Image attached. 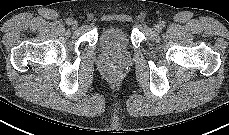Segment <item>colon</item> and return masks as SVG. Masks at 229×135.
I'll return each mask as SVG.
<instances>
[{
    "mask_svg": "<svg viewBox=\"0 0 229 135\" xmlns=\"http://www.w3.org/2000/svg\"><path fill=\"white\" fill-rule=\"evenodd\" d=\"M110 77H111L112 80H117L118 79V75L116 73H112Z\"/></svg>",
    "mask_w": 229,
    "mask_h": 135,
    "instance_id": "5ec220e1",
    "label": "colon"
}]
</instances>
